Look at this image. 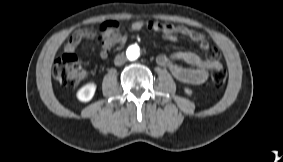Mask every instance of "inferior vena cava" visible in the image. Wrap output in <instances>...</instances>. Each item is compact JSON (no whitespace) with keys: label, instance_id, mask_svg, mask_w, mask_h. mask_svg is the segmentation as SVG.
<instances>
[{"label":"inferior vena cava","instance_id":"inferior-vena-cava-1","mask_svg":"<svg viewBox=\"0 0 283 162\" xmlns=\"http://www.w3.org/2000/svg\"><path fill=\"white\" fill-rule=\"evenodd\" d=\"M126 62V57L123 54H119L114 59V64L116 66H121Z\"/></svg>","mask_w":283,"mask_h":162}]
</instances>
